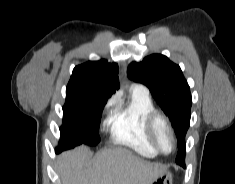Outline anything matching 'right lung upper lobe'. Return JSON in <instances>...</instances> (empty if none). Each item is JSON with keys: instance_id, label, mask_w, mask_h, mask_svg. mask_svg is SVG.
I'll list each match as a JSON object with an SVG mask.
<instances>
[{"instance_id": "cb5924a9", "label": "right lung upper lobe", "mask_w": 235, "mask_h": 184, "mask_svg": "<svg viewBox=\"0 0 235 184\" xmlns=\"http://www.w3.org/2000/svg\"><path fill=\"white\" fill-rule=\"evenodd\" d=\"M119 87L118 65L102 59L76 66L66 92H86L87 102L90 105H105Z\"/></svg>"}]
</instances>
